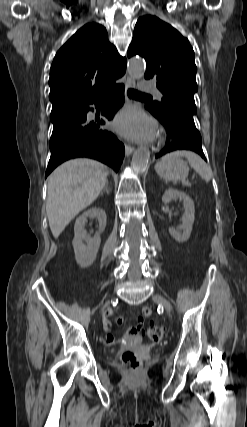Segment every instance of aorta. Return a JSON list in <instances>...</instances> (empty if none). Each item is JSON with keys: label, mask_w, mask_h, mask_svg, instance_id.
<instances>
[{"label": "aorta", "mask_w": 247, "mask_h": 427, "mask_svg": "<svg viewBox=\"0 0 247 427\" xmlns=\"http://www.w3.org/2000/svg\"><path fill=\"white\" fill-rule=\"evenodd\" d=\"M145 63L138 59H131L128 63L130 76L140 78L144 75ZM150 159V151L146 148L137 150L132 158V167L135 172L145 171Z\"/></svg>", "instance_id": "1"}]
</instances>
